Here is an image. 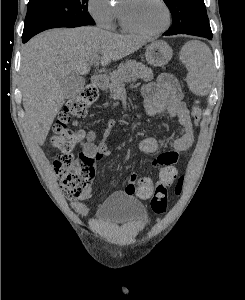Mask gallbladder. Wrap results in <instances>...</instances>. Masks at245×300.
I'll return each instance as SVG.
<instances>
[{
  "mask_svg": "<svg viewBox=\"0 0 245 300\" xmlns=\"http://www.w3.org/2000/svg\"><path fill=\"white\" fill-rule=\"evenodd\" d=\"M84 84L85 78L73 73L61 81V87L67 99L77 96L82 91Z\"/></svg>",
  "mask_w": 245,
  "mask_h": 300,
  "instance_id": "obj_1",
  "label": "gallbladder"
}]
</instances>
